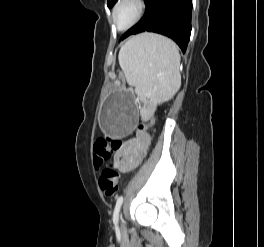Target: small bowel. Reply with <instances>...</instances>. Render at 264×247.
<instances>
[{"label":"small bowel","mask_w":264,"mask_h":247,"mask_svg":"<svg viewBox=\"0 0 264 247\" xmlns=\"http://www.w3.org/2000/svg\"><path fill=\"white\" fill-rule=\"evenodd\" d=\"M149 115L145 112V116ZM150 137L146 133H139L136 138L124 142L115 154V164L120 171L127 173L137 168L147 154Z\"/></svg>","instance_id":"1"}]
</instances>
